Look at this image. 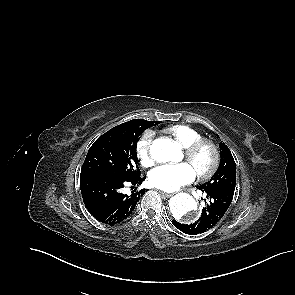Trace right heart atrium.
I'll return each instance as SVG.
<instances>
[{"label":"right heart atrium","instance_id":"right-heart-atrium-1","mask_svg":"<svg viewBox=\"0 0 295 295\" xmlns=\"http://www.w3.org/2000/svg\"><path fill=\"white\" fill-rule=\"evenodd\" d=\"M136 153L139 161L145 167H150L155 162V156L152 150V134L145 133L138 141Z\"/></svg>","mask_w":295,"mask_h":295}]
</instances>
